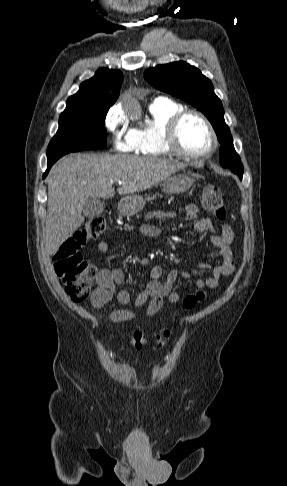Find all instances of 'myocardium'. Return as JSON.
<instances>
[{
    "instance_id": "f54148a6",
    "label": "myocardium",
    "mask_w": 287,
    "mask_h": 486,
    "mask_svg": "<svg viewBox=\"0 0 287 486\" xmlns=\"http://www.w3.org/2000/svg\"><path fill=\"white\" fill-rule=\"evenodd\" d=\"M191 115L198 117L204 123V125L206 126L210 134L211 146L206 151L190 152L184 149L179 142V138H178L179 127L182 121L186 117ZM164 142L168 147V149L174 154L185 158H190V159L206 158L212 155L216 151L219 143L218 136L210 120L206 117L205 114H203L201 111L196 109H183L178 113H176L175 115H173L168 120L164 128Z\"/></svg>"
}]
</instances>
